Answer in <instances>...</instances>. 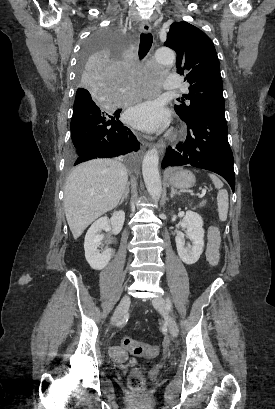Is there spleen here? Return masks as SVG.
Returning a JSON list of instances; mask_svg holds the SVG:
<instances>
[{
	"instance_id": "3e777b00",
	"label": "spleen",
	"mask_w": 275,
	"mask_h": 409,
	"mask_svg": "<svg viewBox=\"0 0 275 409\" xmlns=\"http://www.w3.org/2000/svg\"><path fill=\"white\" fill-rule=\"evenodd\" d=\"M215 188H218L217 192V211L220 221H226L228 215L229 198L226 188H222L223 182L216 176V174H209Z\"/></svg>"
}]
</instances>
